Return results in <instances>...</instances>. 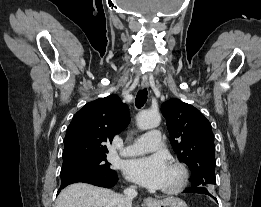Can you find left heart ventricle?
<instances>
[{
    "instance_id": "obj_1",
    "label": "left heart ventricle",
    "mask_w": 261,
    "mask_h": 207,
    "mask_svg": "<svg viewBox=\"0 0 261 207\" xmlns=\"http://www.w3.org/2000/svg\"><path fill=\"white\" fill-rule=\"evenodd\" d=\"M177 178H178V173L176 172V170L168 166L165 173L162 188L171 186L176 182Z\"/></svg>"
}]
</instances>
